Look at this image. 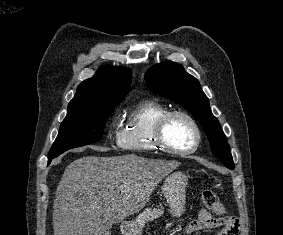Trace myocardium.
Returning <instances> with one entry per match:
<instances>
[{
	"instance_id": "myocardium-1",
	"label": "myocardium",
	"mask_w": 283,
	"mask_h": 235,
	"mask_svg": "<svg viewBox=\"0 0 283 235\" xmlns=\"http://www.w3.org/2000/svg\"><path fill=\"white\" fill-rule=\"evenodd\" d=\"M176 116L185 118L194 128L196 139L194 145L189 149H185V150L174 149L167 143L165 139L166 125L171 118ZM154 139L158 147L166 153L173 155H189L194 153L199 148L202 140V133L198 122L191 114L183 110H170L167 111L165 114H163L157 121L154 129Z\"/></svg>"
}]
</instances>
